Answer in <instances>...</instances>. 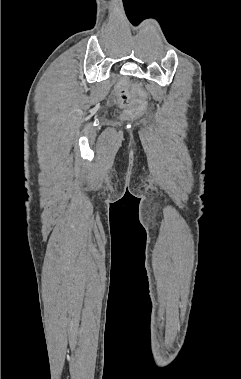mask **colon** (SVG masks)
Returning <instances> with one entry per match:
<instances>
[{
	"label": "colon",
	"mask_w": 241,
	"mask_h": 379,
	"mask_svg": "<svg viewBox=\"0 0 241 379\" xmlns=\"http://www.w3.org/2000/svg\"><path fill=\"white\" fill-rule=\"evenodd\" d=\"M117 96L122 105L127 107L126 116L127 117H135L140 114L145 108L144 99H134L128 95V93L124 90L123 85L120 84Z\"/></svg>",
	"instance_id": "obj_1"
}]
</instances>
